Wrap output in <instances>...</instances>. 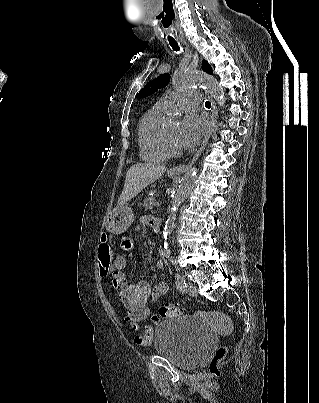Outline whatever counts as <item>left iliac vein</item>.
<instances>
[{"label":"left iliac vein","instance_id":"1","mask_svg":"<svg viewBox=\"0 0 319 403\" xmlns=\"http://www.w3.org/2000/svg\"><path fill=\"white\" fill-rule=\"evenodd\" d=\"M186 292L192 296V297H196L197 296V289L196 287L192 284V283H188L186 286Z\"/></svg>","mask_w":319,"mask_h":403}]
</instances>
